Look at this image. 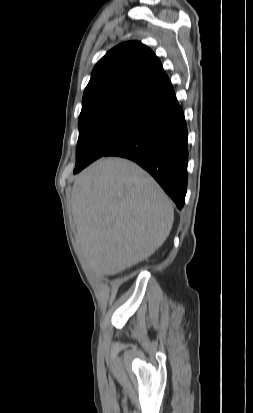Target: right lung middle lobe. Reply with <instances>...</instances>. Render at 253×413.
<instances>
[{"instance_id":"obj_1","label":"right lung middle lobe","mask_w":253,"mask_h":413,"mask_svg":"<svg viewBox=\"0 0 253 413\" xmlns=\"http://www.w3.org/2000/svg\"><path fill=\"white\" fill-rule=\"evenodd\" d=\"M155 117L129 108H109L79 117L74 173L147 128Z\"/></svg>"}]
</instances>
